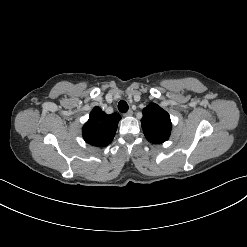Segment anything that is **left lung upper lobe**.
I'll return each instance as SVG.
<instances>
[{
    "instance_id": "1",
    "label": "left lung upper lobe",
    "mask_w": 247,
    "mask_h": 247,
    "mask_svg": "<svg viewBox=\"0 0 247 247\" xmlns=\"http://www.w3.org/2000/svg\"><path fill=\"white\" fill-rule=\"evenodd\" d=\"M142 113L141 125L146 139L153 144L167 141L172 129L169 114L155 103H150Z\"/></svg>"
}]
</instances>
